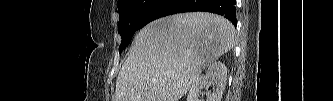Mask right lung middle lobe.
<instances>
[{
    "instance_id": "1",
    "label": "right lung middle lobe",
    "mask_w": 333,
    "mask_h": 101,
    "mask_svg": "<svg viewBox=\"0 0 333 101\" xmlns=\"http://www.w3.org/2000/svg\"><path fill=\"white\" fill-rule=\"evenodd\" d=\"M155 2L156 0L118 1L119 32L122 38L119 53L129 45L134 33L141 28V21L145 14Z\"/></svg>"
}]
</instances>
